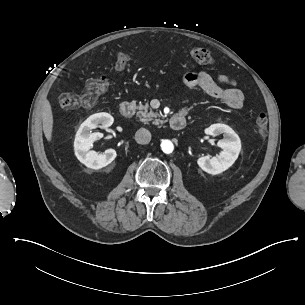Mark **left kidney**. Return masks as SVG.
<instances>
[{"label": "left kidney", "mask_w": 305, "mask_h": 305, "mask_svg": "<svg viewBox=\"0 0 305 305\" xmlns=\"http://www.w3.org/2000/svg\"><path fill=\"white\" fill-rule=\"evenodd\" d=\"M205 133L211 136L223 134L224 138L217 143L218 147L222 148L223 151L216 157H200L197 161L198 165L209 174L216 175L222 173L232 166L238 158L241 150L240 138L231 127L220 123L212 124L205 129Z\"/></svg>", "instance_id": "obj_1"}]
</instances>
